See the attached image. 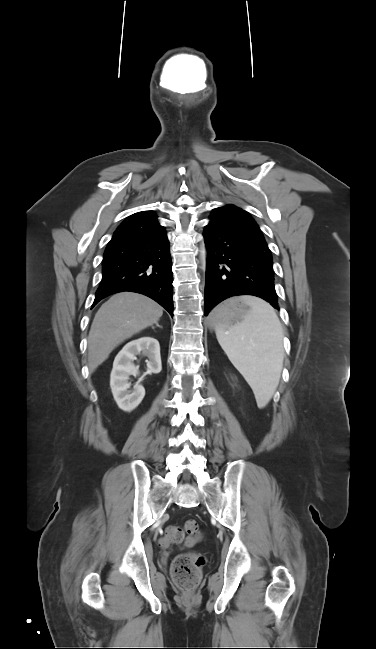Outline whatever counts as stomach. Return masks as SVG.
<instances>
[{
    "instance_id": "stomach-1",
    "label": "stomach",
    "mask_w": 376,
    "mask_h": 649,
    "mask_svg": "<svg viewBox=\"0 0 376 649\" xmlns=\"http://www.w3.org/2000/svg\"><path fill=\"white\" fill-rule=\"evenodd\" d=\"M250 311V307L240 298H232L219 305L210 317L213 327L231 326L240 322Z\"/></svg>"
}]
</instances>
